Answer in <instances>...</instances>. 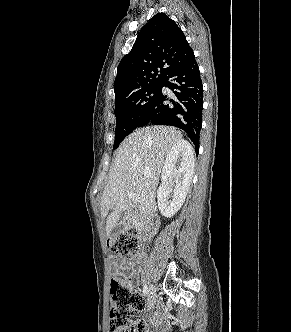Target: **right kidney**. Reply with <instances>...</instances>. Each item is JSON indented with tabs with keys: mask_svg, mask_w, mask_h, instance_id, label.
<instances>
[{
	"mask_svg": "<svg viewBox=\"0 0 291 332\" xmlns=\"http://www.w3.org/2000/svg\"><path fill=\"white\" fill-rule=\"evenodd\" d=\"M194 152L191 145L181 140L173 145L170 153L166 156L162 169V184L158 189L157 200L160 213L171 218L182 207L193 177ZM176 179L173 200H168L173 179Z\"/></svg>",
	"mask_w": 291,
	"mask_h": 332,
	"instance_id": "right-kidney-1",
	"label": "right kidney"
}]
</instances>
